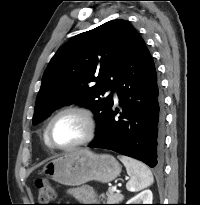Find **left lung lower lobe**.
Listing matches in <instances>:
<instances>
[{"mask_svg":"<svg viewBox=\"0 0 200 205\" xmlns=\"http://www.w3.org/2000/svg\"><path fill=\"white\" fill-rule=\"evenodd\" d=\"M113 89L122 110L111 109L89 147L113 150L152 168L160 166L165 123L163 100L154 62L139 35L115 78ZM118 113L120 116L116 117Z\"/></svg>","mask_w":200,"mask_h":205,"instance_id":"1","label":"left lung lower lobe"}]
</instances>
